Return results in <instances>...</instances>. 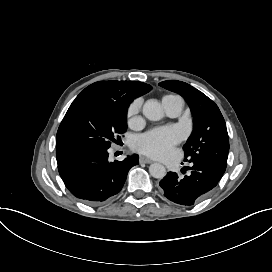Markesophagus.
Segmentation results:
<instances>
[{
  "instance_id": "esophagus-1",
  "label": "esophagus",
  "mask_w": 272,
  "mask_h": 272,
  "mask_svg": "<svg viewBox=\"0 0 272 272\" xmlns=\"http://www.w3.org/2000/svg\"><path fill=\"white\" fill-rule=\"evenodd\" d=\"M139 162H140V163L150 164V163H152L153 161H152L151 159H149L148 157L140 156Z\"/></svg>"
}]
</instances>
